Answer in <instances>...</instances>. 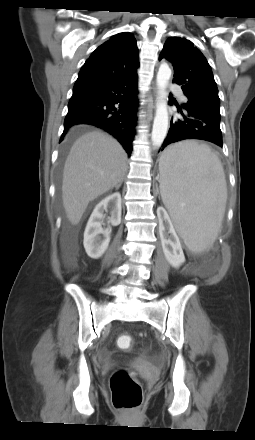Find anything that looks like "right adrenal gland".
Wrapping results in <instances>:
<instances>
[{"instance_id": "2a0ac1e0", "label": "right adrenal gland", "mask_w": 255, "mask_h": 440, "mask_svg": "<svg viewBox=\"0 0 255 440\" xmlns=\"http://www.w3.org/2000/svg\"><path fill=\"white\" fill-rule=\"evenodd\" d=\"M122 183H123V180L117 186H115L116 190H118L121 187Z\"/></svg>"}]
</instances>
